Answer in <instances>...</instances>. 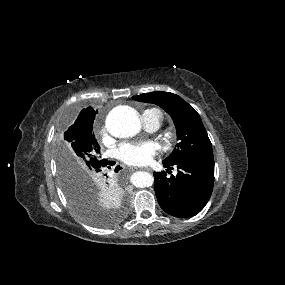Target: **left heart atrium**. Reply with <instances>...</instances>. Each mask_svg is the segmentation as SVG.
<instances>
[{
	"label": "left heart atrium",
	"mask_w": 285,
	"mask_h": 285,
	"mask_svg": "<svg viewBox=\"0 0 285 285\" xmlns=\"http://www.w3.org/2000/svg\"><path fill=\"white\" fill-rule=\"evenodd\" d=\"M157 153V146L152 142L122 143L116 149V156L125 164L144 166L149 164Z\"/></svg>",
	"instance_id": "1"
}]
</instances>
